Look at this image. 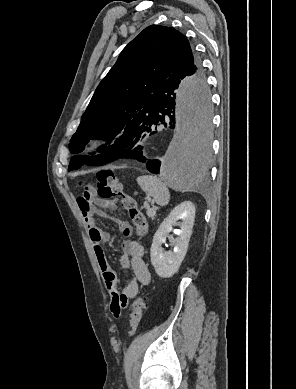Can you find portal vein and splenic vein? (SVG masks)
I'll return each mask as SVG.
<instances>
[{"instance_id": "portal-vein-and-splenic-vein-1", "label": "portal vein and splenic vein", "mask_w": 296, "mask_h": 389, "mask_svg": "<svg viewBox=\"0 0 296 389\" xmlns=\"http://www.w3.org/2000/svg\"><path fill=\"white\" fill-rule=\"evenodd\" d=\"M147 214L148 216L153 217L155 215V211H153L152 209H148Z\"/></svg>"}]
</instances>
